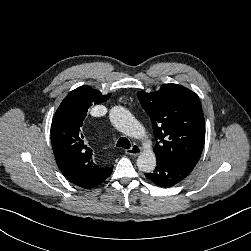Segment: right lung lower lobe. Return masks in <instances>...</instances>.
<instances>
[{"label":"right lung lower lobe","instance_id":"98d812e1","mask_svg":"<svg viewBox=\"0 0 251 251\" xmlns=\"http://www.w3.org/2000/svg\"><path fill=\"white\" fill-rule=\"evenodd\" d=\"M112 167H111V170L100 180V182H98L96 185H94V186H92V187H95V186H97V185H99L101 182H103L106 178H108L109 177V175L111 174V172H112ZM91 187V188H92Z\"/></svg>","mask_w":251,"mask_h":251}]
</instances>
